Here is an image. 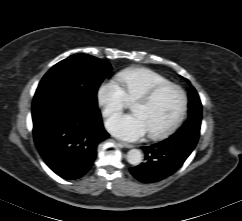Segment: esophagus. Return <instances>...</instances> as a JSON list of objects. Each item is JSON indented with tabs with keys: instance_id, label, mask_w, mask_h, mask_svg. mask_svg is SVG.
<instances>
[{
	"instance_id": "esophagus-1",
	"label": "esophagus",
	"mask_w": 242,
	"mask_h": 221,
	"mask_svg": "<svg viewBox=\"0 0 242 221\" xmlns=\"http://www.w3.org/2000/svg\"><path fill=\"white\" fill-rule=\"evenodd\" d=\"M119 144L122 146V147H125V148H133L134 145L130 144V143H127V142H123V141H120Z\"/></svg>"
}]
</instances>
